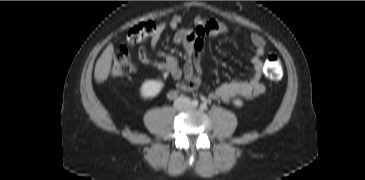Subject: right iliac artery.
<instances>
[{
	"label": "right iliac artery",
	"mask_w": 365,
	"mask_h": 180,
	"mask_svg": "<svg viewBox=\"0 0 365 180\" xmlns=\"http://www.w3.org/2000/svg\"><path fill=\"white\" fill-rule=\"evenodd\" d=\"M191 104H192V106L197 107L199 102H198V100L194 99V100H192Z\"/></svg>",
	"instance_id": "1"
}]
</instances>
